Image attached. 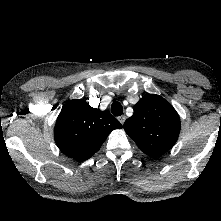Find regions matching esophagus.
Wrapping results in <instances>:
<instances>
[{
  "mask_svg": "<svg viewBox=\"0 0 221 221\" xmlns=\"http://www.w3.org/2000/svg\"><path fill=\"white\" fill-rule=\"evenodd\" d=\"M118 120L121 124H124L125 120H126V116L125 115H122V116H119L118 117Z\"/></svg>",
  "mask_w": 221,
  "mask_h": 221,
  "instance_id": "esophagus-1",
  "label": "esophagus"
}]
</instances>
